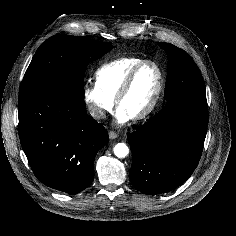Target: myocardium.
I'll return each mask as SVG.
<instances>
[{"instance_id":"f54148a6","label":"myocardium","mask_w":236,"mask_h":236,"mask_svg":"<svg viewBox=\"0 0 236 236\" xmlns=\"http://www.w3.org/2000/svg\"><path fill=\"white\" fill-rule=\"evenodd\" d=\"M149 64L153 65L158 71V75H159L158 86H157V89L155 91V94H154L153 99H152L151 103L149 104V106L143 112L131 117V119L136 122L148 118L156 110V108L161 100L162 93L164 90V85H165V74H164V71H163L162 67L160 66V64L154 60L148 59V60L142 61L141 63L136 65L134 68H132L130 70V72L127 74L126 78L124 79V81H123V83L116 95V98H115V104L119 108L120 102L122 101V99L126 96L128 91L130 90L137 73L144 66L149 65Z\"/></svg>"}]
</instances>
